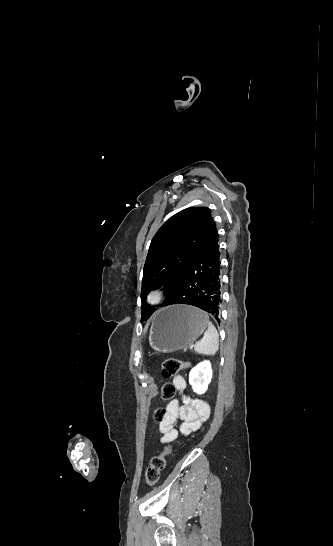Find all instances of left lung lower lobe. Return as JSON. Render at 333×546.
<instances>
[{
    "mask_svg": "<svg viewBox=\"0 0 333 546\" xmlns=\"http://www.w3.org/2000/svg\"><path fill=\"white\" fill-rule=\"evenodd\" d=\"M203 264L202 272L199 265ZM188 304L210 313L218 322L221 304V268L218 232L213 223L203 238L196 256L178 279L164 306Z\"/></svg>",
    "mask_w": 333,
    "mask_h": 546,
    "instance_id": "0a47b994",
    "label": "left lung lower lobe"
}]
</instances>
